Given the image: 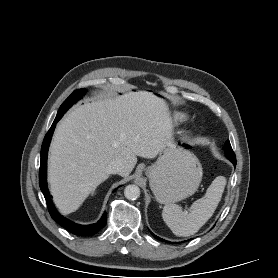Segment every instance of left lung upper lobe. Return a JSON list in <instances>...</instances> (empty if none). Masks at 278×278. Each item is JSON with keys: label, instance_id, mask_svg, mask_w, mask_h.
<instances>
[{"label": "left lung upper lobe", "instance_id": "1", "mask_svg": "<svg viewBox=\"0 0 278 278\" xmlns=\"http://www.w3.org/2000/svg\"><path fill=\"white\" fill-rule=\"evenodd\" d=\"M224 150H225V154L229 160L236 161V156L232 150V147H231V144L229 141L226 142V144L224 146Z\"/></svg>", "mask_w": 278, "mask_h": 278}]
</instances>
